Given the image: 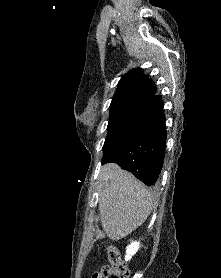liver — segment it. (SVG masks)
<instances>
[{
  "mask_svg": "<svg viewBox=\"0 0 221 278\" xmlns=\"http://www.w3.org/2000/svg\"><path fill=\"white\" fill-rule=\"evenodd\" d=\"M99 178L101 225L111 240H119L146 221L154 198L149 189L117 164L104 165Z\"/></svg>",
  "mask_w": 221,
  "mask_h": 278,
  "instance_id": "liver-1",
  "label": "liver"
}]
</instances>
